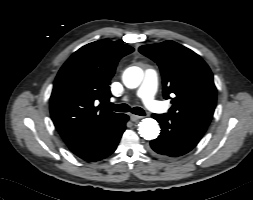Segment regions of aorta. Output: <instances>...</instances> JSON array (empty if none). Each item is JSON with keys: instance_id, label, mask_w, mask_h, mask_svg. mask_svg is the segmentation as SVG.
<instances>
[{"instance_id": "1", "label": "aorta", "mask_w": 253, "mask_h": 200, "mask_svg": "<svg viewBox=\"0 0 253 200\" xmlns=\"http://www.w3.org/2000/svg\"><path fill=\"white\" fill-rule=\"evenodd\" d=\"M143 71L139 67H130L123 75V82L128 88H136L142 81ZM139 134L146 140H153L158 137L160 127L156 120L145 118L139 123Z\"/></svg>"}]
</instances>
